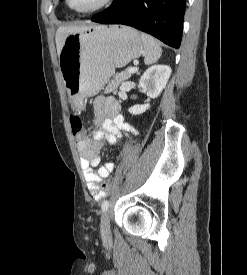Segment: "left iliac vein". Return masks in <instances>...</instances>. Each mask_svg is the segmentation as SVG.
I'll return each mask as SVG.
<instances>
[{
	"mask_svg": "<svg viewBox=\"0 0 247 275\" xmlns=\"http://www.w3.org/2000/svg\"><path fill=\"white\" fill-rule=\"evenodd\" d=\"M100 230L103 239H109L111 237L110 216L107 212L101 217Z\"/></svg>",
	"mask_w": 247,
	"mask_h": 275,
	"instance_id": "4c4485c4",
	"label": "left iliac vein"
}]
</instances>
